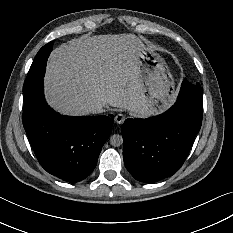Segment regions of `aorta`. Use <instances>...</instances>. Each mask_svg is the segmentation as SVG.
Returning <instances> with one entry per match:
<instances>
[{"instance_id":"762f6f07","label":"aorta","mask_w":233,"mask_h":233,"mask_svg":"<svg viewBox=\"0 0 233 233\" xmlns=\"http://www.w3.org/2000/svg\"><path fill=\"white\" fill-rule=\"evenodd\" d=\"M110 144L115 147H119L123 144V138L119 134H114L110 137Z\"/></svg>"}]
</instances>
